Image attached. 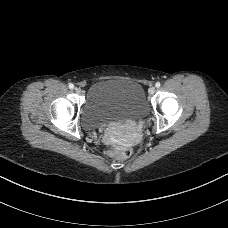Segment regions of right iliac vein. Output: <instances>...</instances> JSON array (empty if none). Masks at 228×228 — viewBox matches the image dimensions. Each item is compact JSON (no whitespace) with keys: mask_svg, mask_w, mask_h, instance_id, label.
<instances>
[{"mask_svg":"<svg viewBox=\"0 0 228 228\" xmlns=\"http://www.w3.org/2000/svg\"><path fill=\"white\" fill-rule=\"evenodd\" d=\"M75 91H76L77 93H80V89H79L78 87L75 88Z\"/></svg>","mask_w":228,"mask_h":228,"instance_id":"obj_1","label":"right iliac vein"}]
</instances>
